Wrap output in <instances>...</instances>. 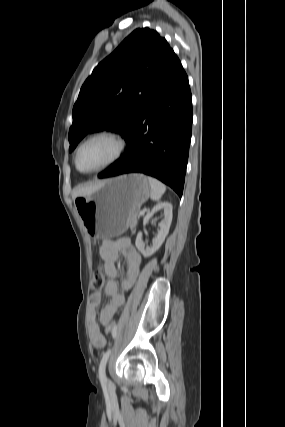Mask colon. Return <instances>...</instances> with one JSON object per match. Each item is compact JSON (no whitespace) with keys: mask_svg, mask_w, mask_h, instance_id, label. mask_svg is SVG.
Wrapping results in <instances>:
<instances>
[{"mask_svg":"<svg viewBox=\"0 0 285 427\" xmlns=\"http://www.w3.org/2000/svg\"><path fill=\"white\" fill-rule=\"evenodd\" d=\"M105 283V276L103 271L101 270V268L97 269L93 275H92V279H91V288L93 290H99L103 287ZM106 333H115L116 331V327L114 324L109 323L108 325H106Z\"/></svg>","mask_w":285,"mask_h":427,"instance_id":"5ec220e1","label":"colon"}]
</instances>
